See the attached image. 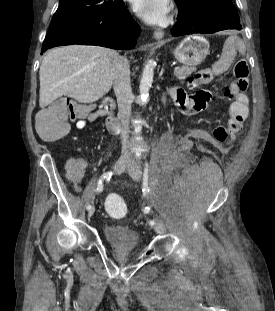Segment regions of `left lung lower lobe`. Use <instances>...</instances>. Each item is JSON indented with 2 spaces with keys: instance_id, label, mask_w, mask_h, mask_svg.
I'll return each instance as SVG.
<instances>
[{
  "instance_id": "obj_1",
  "label": "left lung lower lobe",
  "mask_w": 275,
  "mask_h": 311,
  "mask_svg": "<svg viewBox=\"0 0 275 311\" xmlns=\"http://www.w3.org/2000/svg\"><path fill=\"white\" fill-rule=\"evenodd\" d=\"M241 30L239 16L228 7L202 6L197 9L178 11L177 22L171 29L173 36L193 33H215L222 30Z\"/></svg>"
}]
</instances>
